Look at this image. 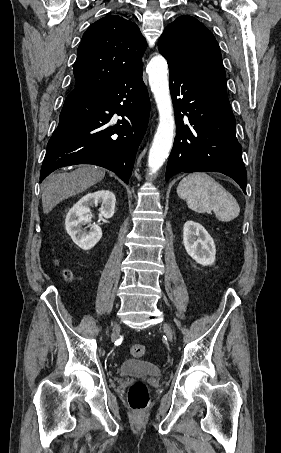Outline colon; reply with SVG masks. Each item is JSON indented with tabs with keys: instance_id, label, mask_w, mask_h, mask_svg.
Instances as JSON below:
<instances>
[{
	"instance_id": "1",
	"label": "colon",
	"mask_w": 281,
	"mask_h": 453,
	"mask_svg": "<svg viewBox=\"0 0 281 453\" xmlns=\"http://www.w3.org/2000/svg\"><path fill=\"white\" fill-rule=\"evenodd\" d=\"M65 278L72 280L73 276L67 272L65 273ZM131 354L135 359H142L147 355V348L145 345H133ZM127 398L131 411L135 413L144 412L148 405V393L145 383L140 380L133 382L128 389Z\"/></svg>"
}]
</instances>
